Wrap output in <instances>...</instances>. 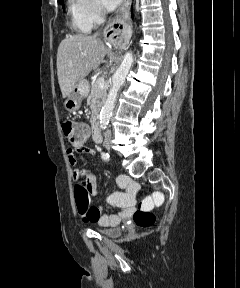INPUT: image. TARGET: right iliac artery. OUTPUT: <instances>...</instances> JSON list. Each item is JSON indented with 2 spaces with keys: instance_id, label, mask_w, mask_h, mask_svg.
I'll use <instances>...</instances> for the list:
<instances>
[{
  "instance_id": "obj_1",
  "label": "right iliac artery",
  "mask_w": 240,
  "mask_h": 288,
  "mask_svg": "<svg viewBox=\"0 0 240 288\" xmlns=\"http://www.w3.org/2000/svg\"><path fill=\"white\" fill-rule=\"evenodd\" d=\"M101 157L104 161H109L110 160V156L108 153L102 152L101 153Z\"/></svg>"
}]
</instances>
